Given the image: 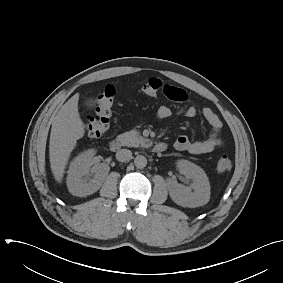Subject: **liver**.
<instances>
[{
	"instance_id": "liver-1",
	"label": "liver",
	"mask_w": 283,
	"mask_h": 283,
	"mask_svg": "<svg viewBox=\"0 0 283 283\" xmlns=\"http://www.w3.org/2000/svg\"><path fill=\"white\" fill-rule=\"evenodd\" d=\"M79 94L72 96L57 112L52 121L49 159L57 182H62L70 154L85 134L84 124L78 112Z\"/></svg>"
}]
</instances>
